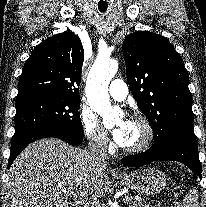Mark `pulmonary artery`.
<instances>
[{
    "label": "pulmonary artery",
    "instance_id": "pulmonary-artery-1",
    "mask_svg": "<svg viewBox=\"0 0 206 207\" xmlns=\"http://www.w3.org/2000/svg\"><path fill=\"white\" fill-rule=\"evenodd\" d=\"M109 94L115 100H124L128 95V87L124 81L114 79L109 85Z\"/></svg>",
    "mask_w": 206,
    "mask_h": 207
}]
</instances>
